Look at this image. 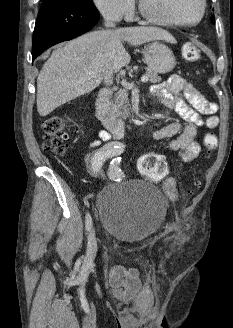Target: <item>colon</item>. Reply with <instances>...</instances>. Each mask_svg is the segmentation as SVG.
Listing matches in <instances>:
<instances>
[{"label":"colon","instance_id":"colon-1","mask_svg":"<svg viewBox=\"0 0 233 328\" xmlns=\"http://www.w3.org/2000/svg\"><path fill=\"white\" fill-rule=\"evenodd\" d=\"M183 56L188 61H196L200 58L199 49L192 43L183 46ZM67 119L53 117L43 123L45 148L57 154H63L68 146L69 136L65 131ZM205 149L210 154L217 145V138L213 134H207L204 139ZM140 173L148 180L159 181L168 173V166L164 158L155 153L144 154L138 162Z\"/></svg>","mask_w":233,"mask_h":328}]
</instances>
